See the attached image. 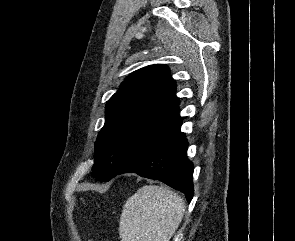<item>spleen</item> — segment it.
<instances>
[{"label": "spleen", "mask_w": 295, "mask_h": 241, "mask_svg": "<svg viewBox=\"0 0 295 241\" xmlns=\"http://www.w3.org/2000/svg\"><path fill=\"white\" fill-rule=\"evenodd\" d=\"M184 212V201L176 193L164 186L145 185L123 207L121 241H169Z\"/></svg>", "instance_id": "3e777b00"}]
</instances>
